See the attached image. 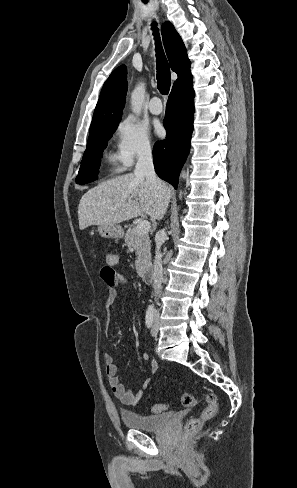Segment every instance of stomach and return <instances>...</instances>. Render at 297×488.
<instances>
[{
    "label": "stomach",
    "mask_w": 297,
    "mask_h": 488,
    "mask_svg": "<svg viewBox=\"0 0 297 488\" xmlns=\"http://www.w3.org/2000/svg\"><path fill=\"white\" fill-rule=\"evenodd\" d=\"M98 232L104 238H121L124 235L120 225H101L98 227Z\"/></svg>",
    "instance_id": "1"
}]
</instances>
